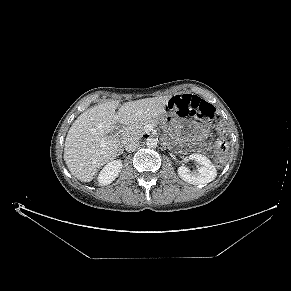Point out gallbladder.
<instances>
[{
  "label": "gallbladder",
  "mask_w": 291,
  "mask_h": 291,
  "mask_svg": "<svg viewBox=\"0 0 291 291\" xmlns=\"http://www.w3.org/2000/svg\"><path fill=\"white\" fill-rule=\"evenodd\" d=\"M110 134H111V135H114V132H111Z\"/></svg>",
  "instance_id": "gallbladder-1"
}]
</instances>
